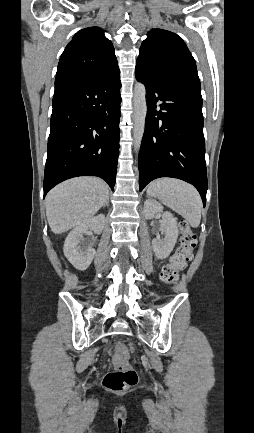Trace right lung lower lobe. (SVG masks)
Instances as JSON below:
<instances>
[{
    "label": "right lung lower lobe",
    "instance_id": "98d812e1",
    "mask_svg": "<svg viewBox=\"0 0 254 433\" xmlns=\"http://www.w3.org/2000/svg\"><path fill=\"white\" fill-rule=\"evenodd\" d=\"M119 72L55 85L44 196L58 183L77 176H98L114 189L121 116Z\"/></svg>",
    "mask_w": 254,
    "mask_h": 433
}]
</instances>
